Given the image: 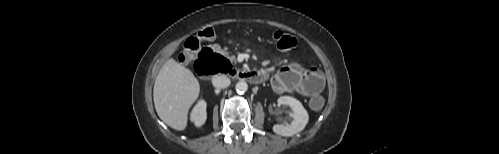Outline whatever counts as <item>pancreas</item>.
<instances>
[{"label":"pancreas","instance_id":"cf45deb5","mask_svg":"<svg viewBox=\"0 0 499 154\" xmlns=\"http://www.w3.org/2000/svg\"><path fill=\"white\" fill-rule=\"evenodd\" d=\"M229 58H230V60H231V61H233V60L235 59V57H234V56H231V57H229Z\"/></svg>","mask_w":499,"mask_h":154}]
</instances>
